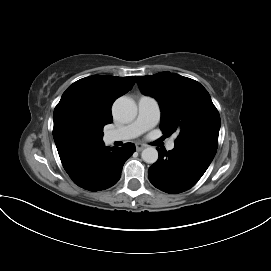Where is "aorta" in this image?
<instances>
[{"label": "aorta", "instance_id": "obj_1", "mask_svg": "<svg viewBox=\"0 0 271 271\" xmlns=\"http://www.w3.org/2000/svg\"><path fill=\"white\" fill-rule=\"evenodd\" d=\"M113 113L123 122L132 121L137 115V106L135 102L128 97L118 98L113 105ZM141 157L144 162L153 164L158 160V151L150 146L142 151Z\"/></svg>", "mask_w": 271, "mask_h": 271}]
</instances>
